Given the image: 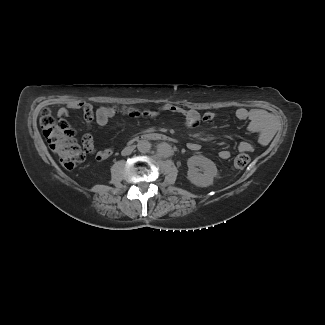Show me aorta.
Here are the masks:
<instances>
[{
    "instance_id": "obj_1",
    "label": "aorta",
    "mask_w": 325,
    "mask_h": 325,
    "mask_svg": "<svg viewBox=\"0 0 325 325\" xmlns=\"http://www.w3.org/2000/svg\"><path fill=\"white\" fill-rule=\"evenodd\" d=\"M137 149L141 153H147L151 149V143L147 140H140L137 144Z\"/></svg>"
}]
</instances>
